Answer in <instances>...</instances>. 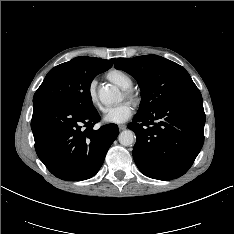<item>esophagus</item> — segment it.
<instances>
[{"label": "esophagus", "mask_w": 234, "mask_h": 234, "mask_svg": "<svg viewBox=\"0 0 234 234\" xmlns=\"http://www.w3.org/2000/svg\"><path fill=\"white\" fill-rule=\"evenodd\" d=\"M120 130H125L127 126L125 124H121L118 126Z\"/></svg>", "instance_id": "34e87169"}]
</instances>
